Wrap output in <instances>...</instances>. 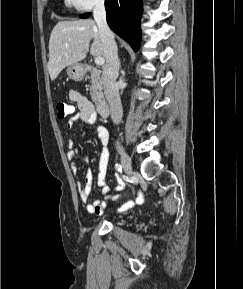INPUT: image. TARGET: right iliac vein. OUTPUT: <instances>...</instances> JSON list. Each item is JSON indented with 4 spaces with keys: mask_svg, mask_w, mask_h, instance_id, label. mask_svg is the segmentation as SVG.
<instances>
[{
    "mask_svg": "<svg viewBox=\"0 0 243 289\" xmlns=\"http://www.w3.org/2000/svg\"><path fill=\"white\" fill-rule=\"evenodd\" d=\"M121 164L128 176L133 174L131 159L126 152L120 153Z\"/></svg>",
    "mask_w": 243,
    "mask_h": 289,
    "instance_id": "obj_1",
    "label": "right iliac vein"
}]
</instances>
